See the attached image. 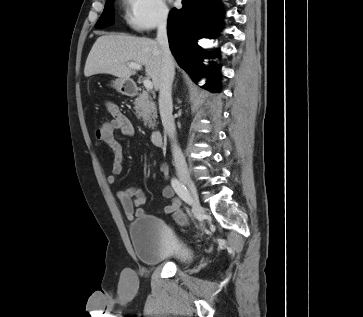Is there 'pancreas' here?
Wrapping results in <instances>:
<instances>
[{"instance_id": "cf45deb5", "label": "pancreas", "mask_w": 363, "mask_h": 317, "mask_svg": "<svg viewBox=\"0 0 363 317\" xmlns=\"http://www.w3.org/2000/svg\"><path fill=\"white\" fill-rule=\"evenodd\" d=\"M137 117H142L144 125L154 129L156 125L157 109L147 91H143L134 101Z\"/></svg>"}]
</instances>
